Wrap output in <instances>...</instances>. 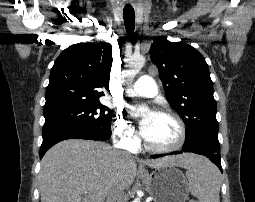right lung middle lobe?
<instances>
[{
  "mask_svg": "<svg viewBox=\"0 0 255 202\" xmlns=\"http://www.w3.org/2000/svg\"><path fill=\"white\" fill-rule=\"evenodd\" d=\"M44 127L72 124L82 126L104 139L111 136L112 111L100 102L67 107L44 114Z\"/></svg>",
  "mask_w": 255,
  "mask_h": 202,
  "instance_id": "dd1d6c3e",
  "label": "right lung middle lobe"
}]
</instances>
